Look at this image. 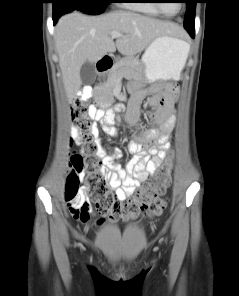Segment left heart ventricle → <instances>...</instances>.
I'll return each mask as SVG.
<instances>
[{
  "mask_svg": "<svg viewBox=\"0 0 239 296\" xmlns=\"http://www.w3.org/2000/svg\"><path fill=\"white\" fill-rule=\"evenodd\" d=\"M161 5L167 13L173 14L178 10L179 3L163 1Z\"/></svg>",
  "mask_w": 239,
  "mask_h": 296,
  "instance_id": "b2bd125f",
  "label": "left heart ventricle"
}]
</instances>
